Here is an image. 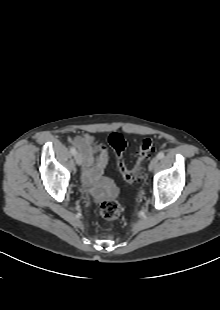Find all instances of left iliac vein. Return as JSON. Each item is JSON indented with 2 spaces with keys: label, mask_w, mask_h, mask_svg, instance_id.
Here are the masks:
<instances>
[{
  "label": "left iliac vein",
  "mask_w": 220,
  "mask_h": 310,
  "mask_svg": "<svg viewBox=\"0 0 220 310\" xmlns=\"http://www.w3.org/2000/svg\"><path fill=\"white\" fill-rule=\"evenodd\" d=\"M158 157H154L151 161H150V163H149V170L150 171H152V170H154L156 167H157V165H158Z\"/></svg>",
  "instance_id": "left-iliac-vein-1"
}]
</instances>
